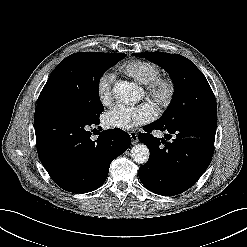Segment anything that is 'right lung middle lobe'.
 I'll return each mask as SVG.
<instances>
[{"instance_id":"1","label":"right lung middle lobe","mask_w":247,"mask_h":247,"mask_svg":"<svg viewBox=\"0 0 247 247\" xmlns=\"http://www.w3.org/2000/svg\"><path fill=\"white\" fill-rule=\"evenodd\" d=\"M125 53H75L63 59L50 74L37 104L54 103L85 119L103 112L98 83L103 73Z\"/></svg>"}]
</instances>
